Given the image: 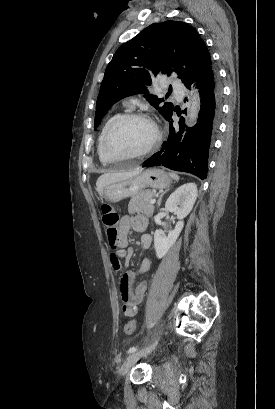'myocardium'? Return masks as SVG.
I'll return each mask as SVG.
<instances>
[{
    "label": "myocardium",
    "instance_id": "myocardium-1",
    "mask_svg": "<svg viewBox=\"0 0 275 409\" xmlns=\"http://www.w3.org/2000/svg\"><path fill=\"white\" fill-rule=\"evenodd\" d=\"M125 120H139L142 121L144 123H146L150 130H151V135L150 138L148 139L147 143L140 149L133 151L131 153L125 154L123 156L120 157H139L142 155H145L147 153H149L154 147L155 145L158 143L159 139H160V130L158 128V126L155 124V122L153 120H151L148 116L141 114V113H134V112H130V113H125V114H121L119 116H117L112 123L110 124L109 128L107 129L103 142H102V155L103 157H109L106 154V145L108 143V140L112 134V132L114 131V129L123 121Z\"/></svg>",
    "mask_w": 275,
    "mask_h": 409
}]
</instances>
